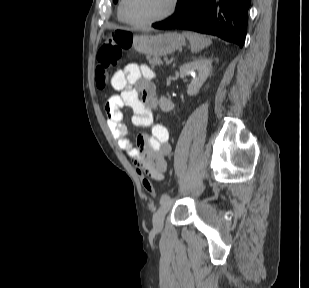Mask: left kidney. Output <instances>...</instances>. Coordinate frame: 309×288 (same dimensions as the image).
<instances>
[{
  "mask_svg": "<svg viewBox=\"0 0 309 288\" xmlns=\"http://www.w3.org/2000/svg\"><path fill=\"white\" fill-rule=\"evenodd\" d=\"M212 68L211 59L200 57L193 61L183 64L180 67V77L184 78L188 75H192L193 79L188 85L187 94L189 96L196 95L203 83L208 78ZM159 106L162 111L169 112L174 109L175 105L171 100L166 97H161L159 100Z\"/></svg>",
  "mask_w": 309,
  "mask_h": 288,
  "instance_id": "obj_1",
  "label": "left kidney"
}]
</instances>
